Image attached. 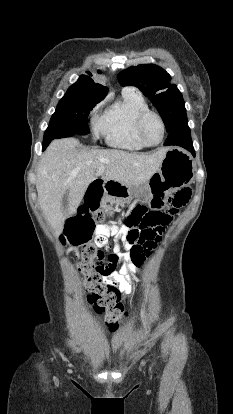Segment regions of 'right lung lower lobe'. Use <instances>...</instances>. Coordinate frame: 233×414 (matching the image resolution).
<instances>
[{"label": "right lung lower lobe", "mask_w": 233, "mask_h": 414, "mask_svg": "<svg viewBox=\"0 0 233 414\" xmlns=\"http://www.w3.org/2000/svg\"><path fill=\"white\" fill-rule=\"evenodd\" d=\"M68 135L64 132L63 129L57 128V127H48L45 135H44V141H43V150L49 145V143L56 138H62L63 136Z\"/></svg>", "instance_id": "1"}]
</instances>
